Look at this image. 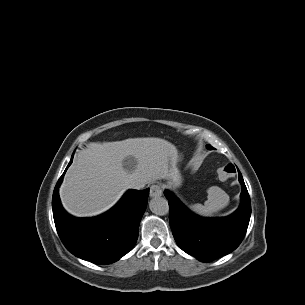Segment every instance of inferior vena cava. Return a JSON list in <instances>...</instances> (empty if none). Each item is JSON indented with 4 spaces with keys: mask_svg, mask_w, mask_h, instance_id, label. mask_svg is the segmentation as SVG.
<instances>
[{
    "mask_svg": "<svg viewBox=\"0 0 305 305\" xmlns=\"http://www.w3.org/2000/svg\"><path fill=\"white\" fill-rule=\"evenodd\" d=\"M130 187L133 188V189H141V188L144 187V185L141 184V183L133 182V183L130 185Z\"/></svg>",
    "mask_w": 305,
    "mask_h": 305,
    "instance_id": "602c4592",
    "label": "inferior vena cava"
}]
</instances>
